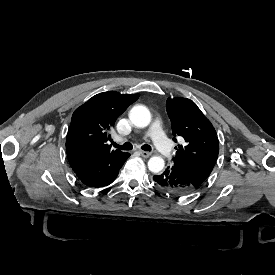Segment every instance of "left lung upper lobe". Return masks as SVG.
Returning <instances> with one entry per match:
<instances>
[{"label": "left lung upper lobe", "instance_id": "obj_1", "mask_svg": "<svg viewBox=\"0 0 275 275\" xmlns=\"http://www.w3.org/2000/svg\"><path fill=\"white\" fill-rule=\"evenodd\" d=\"M174 136L185 144L175 147L173 167L198 188L210 175L218 153L219 141L211 122L190 99L175 97L166 102Z\"/></svg>", "mask_w": 275, "mask_h": 275}]
</instances>
